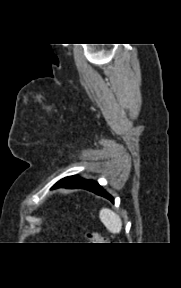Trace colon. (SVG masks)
Instances as JSON below:
<instances>
[{"label":"colon","mask_w":181,"mask_h":288,"mask_svg":"<svg viewBox=\"0 0 181 288\" xmlns=\"http://www.w3.org/2000/svg\"><path fill=\"white\" fill-rule=\"evenodd\" d=\"M89 238L92 239V240H95L98 238V235L96 233H90L89 234Z\"/></svg>","instance_id":"obj_1"}]
</instances>
